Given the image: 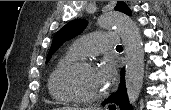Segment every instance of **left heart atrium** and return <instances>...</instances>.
Instances as JSON below:
<instances>
[{"mask_svg": "<svg viewBox=\"0 0 171 110\" xmlns=\"http://www.w3.org/2000/svg\"><path fill=\"white\" fill-rule=\"evenodd\" d=\"M97 74L107 87L115 80L116 70L112 63L106 62L100 66V68L97 70Z\"/></svg>", "mask_w": 171, "mask_h": 110, "instance_id": "39dd6f15", "label": "left heart atrium"}]
</instances>
